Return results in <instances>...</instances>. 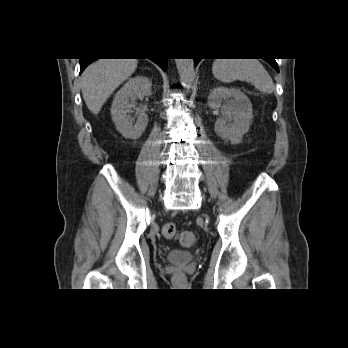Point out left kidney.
I'll return each mask as SVG.
<instances>
[{"label": "left kidney", "mask_w": 348, "mask_h": 348, "mask_svg": "<svg viewBox=\"0 0 348 348\" xmlns=\"http://www.w3.org/2000/svg\"><path fill=\"white\" fill-rule=\"evenodd\" d=\"M208 106L213 110L222 109V117L215 122L216 134L233 144L240 143L253 118L249 98L239 89L217 87L208 96ZM228 120L233 122L227 124Z\"/></svg>", "instance_id": "obj_1"}]
</instances>
